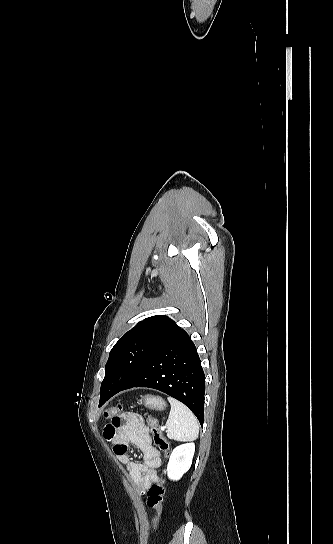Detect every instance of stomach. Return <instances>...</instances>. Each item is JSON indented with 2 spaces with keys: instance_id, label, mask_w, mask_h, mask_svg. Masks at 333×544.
Returning <instances> with one entry per match:
<instances>
[{
  "instance_id": "1",
  "label": "stomach",
  "mask_w": 333,
  "mask_h": 544,
  "mask_svg": "<svg viewBox=\"0 0 333 544\" xmlns=\"http://www.w3.org/2000/svg\"><path fill=\"white\" fill-rule=\"evenodd\" d=\"M144 405L154 410H164L166 402L160 396L147 395L144 398Z\"/></svg>"
}]
</instances>
